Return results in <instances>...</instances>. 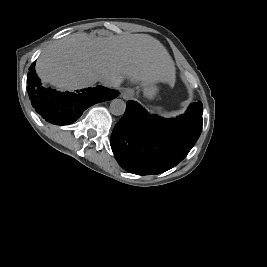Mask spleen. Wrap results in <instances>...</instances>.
Here are the masks:
<instances>
[{
	"label": "spleen",
	"mask_w": 267,
	"mask_h": 267,
	"mask_svg": "<svg viewBox=\"0 0 267 267\" xmlns=\"http://www.w3.org/2000/svg\"><path fill=\"white\" fill-rule=\"evenodd\" d=\"M151 112L157 113V114H162V108L161 107H152Z\"/></svg>",
	"instance_id": "spleen-1"
}]
</instances>
